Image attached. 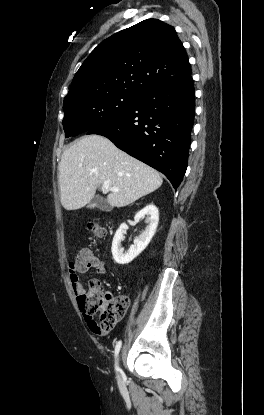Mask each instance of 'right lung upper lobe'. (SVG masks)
Returning a JSON list of instances; mask_svg holds the SVG:
<instances>
[{
    "mask_svg": "<svg viewBox=\"0 0 264 415\" xmlns=\"http://www.w3.org/2000/svg\"><path fill=\"white\" fill-rule=\"evenodd\" d=\"M191 73L174 27L147 19L100 43L76 72L64 101L107 92L141 96Z\"/></svg>",
    "mask_w": 264,
    "mask_h": 415,
    "instance_id": "cb5924a9",
    "label": "right lung upper lobe"
}]
</instances>
